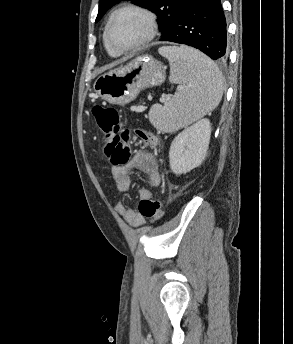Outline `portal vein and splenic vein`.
<instances>
[{
  "label": "portal vein and splenic vein",
  "instance_id": "1",
  "mask_svg": "<svg viewBox=\"0 0 293 344\" xmlns=\"http://www.w3.org/2000/svg\"><path fill=\"white\" fill-rule=\"evenodd\" d=\"M167 98L165 96L162 97L161 101H165Z\"/></svg>",
  "mask_w": 293,
  "mask_h": 344
}]
</instances>
